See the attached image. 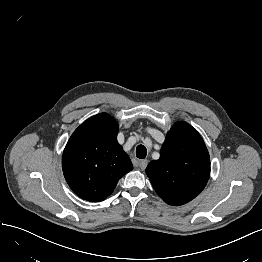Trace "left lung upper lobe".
<instances>
[{"label": "left lung upper lobe", "instance_id": "1", "mask_svg": "<svg viewBox=\"0 0 262 262\" xmlns=\"http://www.w3.org/2000/svg\"><path fill=\"white\" fill-rule=\"evenodd\" d=\"M156 193L169 205L188 203L201 193L210 175V158L199 133L176 122L167 134L159 160L146 168Z\"/></svg>", "mask_w": 262, "mask_h": 262}]
</instances>
